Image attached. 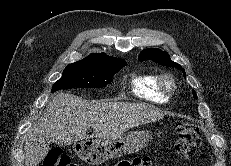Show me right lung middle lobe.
Segmentation results:
<instances>
[{"label": "right lung middle lobe", "mask_w": 231, "mask_h": 166, "mask_svg": "<svg viewBox=\"0 0 231 166\" xmlns=\"http://www.w3.org/2000/svg\"><path fill=\"white\" fill-rule=\"evenodd\" d=\"M126 65L124 60L114 57L100 60L85 58L64 69L62 77L53 85L52 92L74 87H105L110 84L113 75Z\"/></svg>", "instance_id": "1"}]
</instances>
